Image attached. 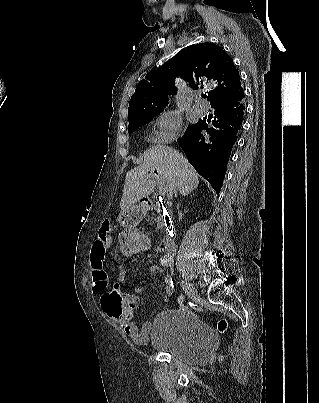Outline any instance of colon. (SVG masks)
<instances>
[{"mask_svg":"<svg viewBox=\"0 0 319 403\" xmlns=\"http://www.w3.org/2000/svg\"><path fill=\"white\" fill-rule=\"evenodd\" d=\"M115 248L126 260H137L139 254H150L151 240L149 234H144L143 226H126L121 230V237L115 239ZM177 301L181 303L183 299L178 297ZM226 328V320L219 321L218 329L223 332Z\"/></svg>","mask_w":319,"mask_h":403,"instance_id":"colon-1","label":"colon"}]
</instances>
